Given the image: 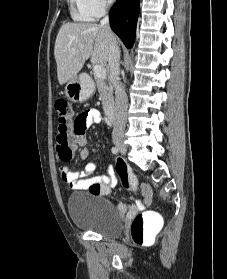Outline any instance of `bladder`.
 I'll list each match as a JSON object with an SVG mask.
<instances>
[{"mask_svg": "<svg viewBox=\"0 0 227 279\" xmlns=\"http://www.w3.org/2000/svg\"><path fill=\"white\" fill-rule=\"evenodd\" d=\"M67 211L78 227L107 238H117L123 231V220L108 200L99 193L72 194Z\"/></svg>", "mask_w": 227, "mask_h": 279, "instance_id": "1", "label": "bladder"}]
</instances>
